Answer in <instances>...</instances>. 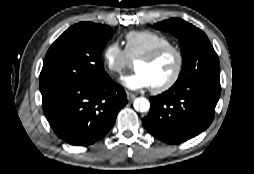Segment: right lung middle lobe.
<instances>
[{"mask_svg": "<svg viewBox=\"0 0 254 174\" xmlns=\"http://www.w3.org/2000/svg\"><path fill=\"white\" fill-rule=\"evenodd\" d=\"M113 36L106 25L80 22L67 29L49 48L40 73V91L96 83L108 74L103 68L101 54Z\"/></svg>", "mask_w": 254, "mask_h": 174, "instance_id": "dd1d6c3e", "label": "right lung middle lobe"}]
</instances>
